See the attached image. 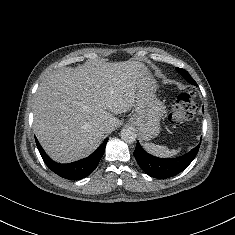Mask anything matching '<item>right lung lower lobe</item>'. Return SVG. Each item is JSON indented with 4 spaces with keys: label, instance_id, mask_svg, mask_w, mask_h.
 Instances as JSON below:
<instances>
[{
    "label": "right lung lower lobe",
    "instance_id": "98d812e1",
    "mask_svg": "<svg viewBox=\"0 0 235 235\" xmlns=\"http://www.w3.org/2000/svg\"><path fill=\"white\" fill-rule=\"evenodd\" d=\"M35 140L43 161L54 173L69 180H79L91 174L97 167L104 154L108 138L105 139L104 142L90 156L69 164L54 162L45 153L38 140L36 138Z\"/></svg>",
    "mask_w": 235,
    "mask_h": 235
}]
</instances>
